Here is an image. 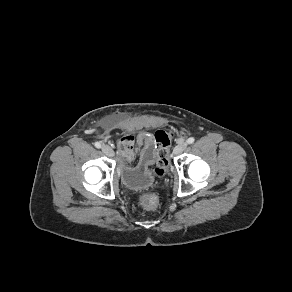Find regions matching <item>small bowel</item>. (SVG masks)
Here are the masks:
<instances>
[{
	"label": "small bowel",
	"mask_w": 292,
	"mask_h": 292,
	"mask_svg": "<svg viewBox=\"0 0 292 292\" xmlns=\"http://www.w3.org/2000/svg\"><path fill=\"white\" fill-rule=\"evenodd\" d=\"M155 135L144 133L134 138H125L118 143V155L126 165L133 164L138 158V165L145 168L152 166L157 157Z\"/></svg>",
	"instance_id": "1"
}]
</instances>
